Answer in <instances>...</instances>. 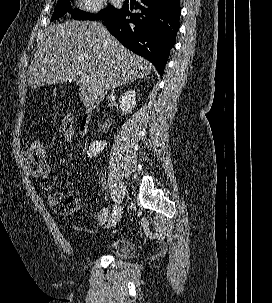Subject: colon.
Listing matches in <instances>:
<instances>
[{
  "mask_svg": "<svg viewBox=\"0 0 272 303\" xmlns=\"http://www.w3.org/2000/svg\"><path fill=\"white\" fill-rule=\"evenodd\" d=\"M61 130L64 139L69 141L73 132L70 119L67 118L64 121ZM29 146L32 153L34 169L39 173H47L50 171L45 144L40 140H33ZM49 203L52 210L58 215H71L78 209V203L74 197L60 192L51 194L49 196Z\"/></svg>",
  "mask_w": 272,
  "mask_h": 303,
  "instance_id": "5ec220e1",
  "label": "colon"
}]
</instances>
